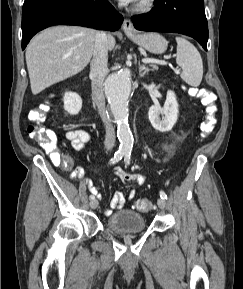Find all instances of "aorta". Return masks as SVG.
I'll return each instance as SVG.
<instances>
[{
  "label": "aorta",
  "instance_id": "aorta-1",
  "mask_svg": "<svg viewBox=\"0 0 243 289\" xmlns=\"http://www.w3.org/2000/svg\"><path fill=\"white\" fill-rule=\"evenodd\" d=\"M130 76L129 69H121L108 76L104 86L111 114L117 123L119 151L122 153L131 152L133 147V136L128 124V100L131 93Z\"/></svg>",
  "mask_w": 243,
  "mask_h": 289
}]
</instances>
